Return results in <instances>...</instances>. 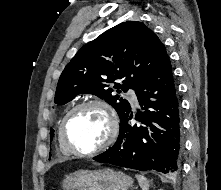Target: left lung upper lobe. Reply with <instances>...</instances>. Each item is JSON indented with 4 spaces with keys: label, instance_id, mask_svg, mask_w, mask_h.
Wrapping results in <instances>:
<instances>
[{
    "label": "left lung upper lobe",
    "instance_id": "5c2ea615",
    "mask_svg": "<svg viewBox=\"0 0 221 190\" xmlns=\"http://www.w3.org/2000/svg\"><path fill=\"white\" fill-rule=\"evenodd\" d=\"M167 55L160 39L146 25L127 21L107 30L84 45L63 70L54 102L65 104L81 93L104 99L120 120L130 104L117 93L135 91ZM118 80L114 87L111 83ZM53 137V131L50 132Z\"/></svg>",
    "mask_w": 221,
    "mask_h": 190
}]
</instances>
